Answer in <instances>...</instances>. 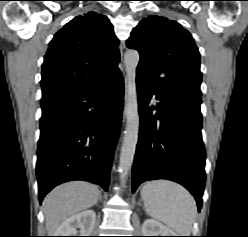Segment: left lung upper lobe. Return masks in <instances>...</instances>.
Returning a JSON list of instances; mask_svg holds the SVG:
<instances>
[{"label":"left lung upper lobe","mask_w":248,"mask_h":237,"mask_svg":"<svg viewBox=\"0 0 248 237\" xmlns=\"http://www.w3.org/2000/svg\"><path fill=\"white\" fill-rule=\"evenodd\" d=\"M127 47L140 53L137 79L164 96L201 97L200 53L180 24L149 16L133 29Z\"/></svg>","instance_id":"5c2ea615"}]
</instances>
